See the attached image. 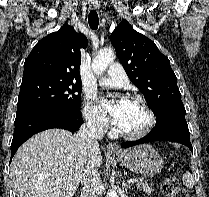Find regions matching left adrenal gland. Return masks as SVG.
<instances>
[{"instance_id":"1","label":"left adrenal gland","mask_w":209,"mask_h":197,"mask_svg":"<svg viewBox=\"0 0 209 197\" xmlns=\"http://www.w3.org/2000/svg\"><path fill=\"white\" fill-rule=\"evenodd\" d=\"M123 189H124L125 191H127V190H131V189H133V188H131L130 185H128L127 183H125V182L123 181Z\"/></svg>"}]
</instances>
